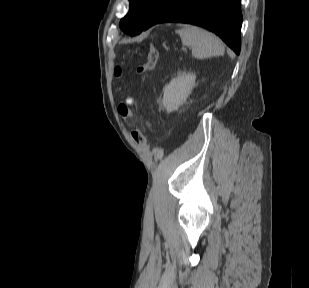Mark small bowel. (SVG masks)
<instances>
[{
	"label": "small bowel",
	"mask_w": 309,
	"mask_h": 288,
	"mask_svg": "<svg viewBox=\"0 0 309 288\" xmlns=\"http://www.w3.org/2000/svg\"><path fill=\"white\" fill-rule=\"evenodd\" d=\"M125 105L133 106L134 100L132 98H127L126 101H125ZM130 126H132V125L130 124Z\"/></svg>",
	"instance_id": "1"
}]
</instances>
